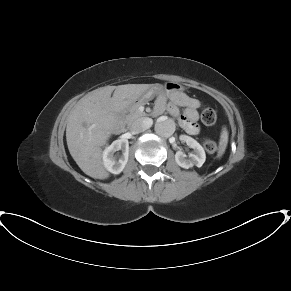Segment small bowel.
<instances>
[{"mask_svg":"<svg viewBox=\"0 0 291 291\" xmlns=\"http://www.w3.org/2000/svg\"><path fill=\"white\" fill-rule=\"evenodd\" d=\"M201 106V102L191 98L182 92H174L168 96L160 97L156 103L157 113L166 110L173 118L177 119L183 130L189 135H198L200 127L196 123L197 109ZM179 107H185L183 113Z\"/></svg>","mask_w":291,"mask_h":291,"instance_id":"small-bowel-1","label":"small bowel"}]
</instances>
